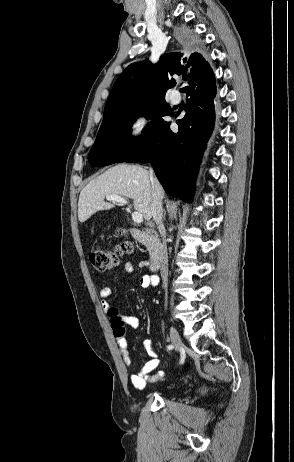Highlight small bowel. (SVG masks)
<instances>
[{
    "label": "small bowel",
    "instance_id": "obj_1",
    "mask_svg": "<svg viewBox=\"0 0 294 462\" xmlns=\"http://www.w3.org/2000/svg\"><path fill=\"white\" fill-rule=\"evenodd\" d=\"M150 266V263L145 261L139 264V267H147ZM134 270V264L129 262L125 265L124 271L127 273H131ZM160 282V278L157 275H145L141 278L140 284L142 287H150V286H157ZM112 294V288L109 284L105 283L100 290V296L102 298H108ZM102 306L105 311H109L113 308L111 303L107 301L102 302ZM124 324L131 326L132 328H138L140 324V320L135 316H129L127 314H120ZM117 345L123 355L124 362L127 367H131L132 361L129 356V344L127 339L124 335L114 332ZM143 347L146 350L147 354L149 355L150 359L142 366V368L137 372L131 375V382L133 386L137 389H142L148 383L156 382L157 380L161 379L164 376L163 371H158L157 373H153V371L159 365V359L157 354L155 353L152 343L149 339H145L143 341Z\"/></svg>",
    "mask_w": 294,
    "mask_h": 462
}]
</instances>
